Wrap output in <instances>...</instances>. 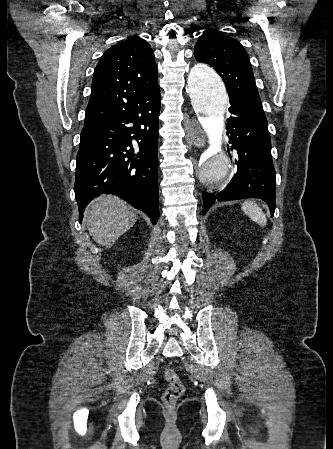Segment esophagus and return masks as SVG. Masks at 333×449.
Returning a JSON list of instances; mask_svg holds the SVG:
<instances>
[{
	"mask_svg": "<svg viewBox=\"0 0 333 449\" xmlns=\"http://www.w3.org/2000/svg\"><path fill=\"white\" fill-rule=\"evenodd\" d=\"M189 135L191 138V141L196 147H203L205 144V135L204 132L199 124V122L192 118L190 120V129H189Z\"/></svg>",
	"mask_w": 333,
	"mask_h": 449,
	"instance_id": "obj_1",
	"label": "esophagus"
}]
</instances>
